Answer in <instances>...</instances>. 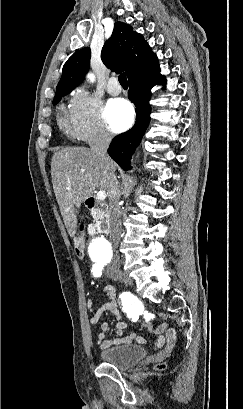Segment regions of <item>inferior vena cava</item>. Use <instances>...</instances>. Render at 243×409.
<instances>
[{"label":"inferior vena cava","instance_id":"obj_1","mask_svg":"<svg viewBox=\"0 0 243 409\" xmlns=\"http://www.w3.org/2000/svg\"><path fill=\"white\" fill-rule=\"evenodd\" d=\"M112 140V135L102 129L89 143L91 151L105 161L108 160L107 149ZM120 185L114 171L109 173L108 196H109V235L114 250V257L109 265V269L118 270L120 268V258L117 246L121 234V211H120Z\"/></svg>","mask_w":243,"mask_h":409}]
</instances>
